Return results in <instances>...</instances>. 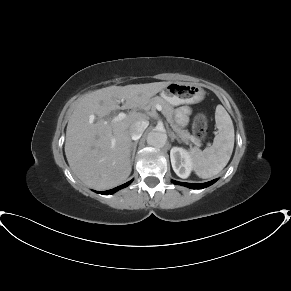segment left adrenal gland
I'll return each instance as SVG.
<instances>
[{
  "label": "left adrenal gland",
  "mask_w": 291,
  "mask_h": 291,
  "mask_svg": "<svg viewBox=\"0 0 291 291\" xmlns=\"http://www.w3.org/2000/svg\"><path fill=\"white\" fill-rule=\"evenodd\" d=\"M174 139H176L178 142H180L181 140L174 134V132H171V140L173 141Z\"/></svg>",
  "instance_id": "1"
}]
</instances>
